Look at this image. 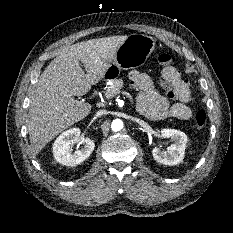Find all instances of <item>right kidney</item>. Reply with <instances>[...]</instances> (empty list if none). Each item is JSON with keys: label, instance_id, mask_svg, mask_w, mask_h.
I'll use <instances>...</instances> for the list:
<instances>
[{"label": "right kidney", "instance_id": "obj_1", "mask_svg": "<svg viewBox=\"0 0 233 233\" xmlns=\"http://www.w3.org/2000/svg\"><path fill=\"white\" fill-rule=\"evenodd\" d=\"M80 129L72 128L63 132L53 144V154L55 159L62 165L75 166L87 159L95 148V143L90 138H83L79 142ZM79 142L83 144L80 150L71 153L70 145Z\"/></svg>", "mask_w": 233, "mask_h": 233}]
</instances>
